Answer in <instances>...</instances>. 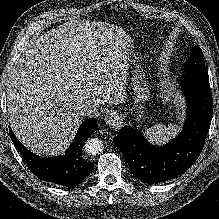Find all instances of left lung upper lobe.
<instances>
[{
    "instance_id": "1",
    "label": "left lung upper lobe",
    "mask_w": 219,
    "mask_h": 219,
    "mask_svg": "<svg viewBox=\"0 0 219 219\" xmlns=\"http://www.w3.org/2000/svg\"><path fill=\"white\" fill-rule=\"evenodd\" d=\"M186 73H197L201 75H208L204 61L203 53L200 48L194 47L191 56L185 62Z\"/></svg>"
}]
</instances>
